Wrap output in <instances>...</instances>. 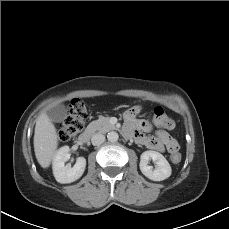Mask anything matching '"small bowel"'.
Returning <instances> with one entry per match:
<instances>
[{
    "mask_svg": "<svg viewBox=\"0 0 229 229\" xmlns=\"http://www.w3.org/2000/svg\"><path fill=\"white\" fill-rule=\"evenodd\" d=\"M140 112V106H133L126 110L124 114L125 124L123 128V134L127 138H134L138 144L158 152H163L170 142L178 144L176 140L173 139L168 133V130L172 129L173 127L167 126L163 119L167 116L161 107H156L154 109L153 123L159 128V130H157L153 136H145L140 132L141 130H149L148 122L138 118Z\"/></svg>",
    "mask_w": 229,
    "mask_h": 229,
    "instance_id": "obj_1",
    "label": "small bowel"
}]
</instances>
